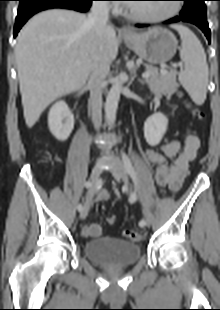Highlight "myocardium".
I'll return each instance as SVG.
<instances>
[{
  "mask_svg": "<svg viewBox=\"0 0 220 310\" xmlns=\"http://www.w3.org/2000/svg\"><path fill=\"white\" fill-rule=\"evenodd\" d=\"M180 11V6L176 3L172 4L170 7V10L161 16H157V17H150V16H145L142 14H138L135 13L133 11H131L130 9H128L126 11V14L133 20L138 21V22H142V23H149V24H157V23H162L164 21H167L171 18H173L174 16H176Z\"/></svg>",
  "mask_w": 220,
  "mask_h": 310,
  "instance_id": "f54148a6",
  "label": "myocardium"
}]
</instances>
